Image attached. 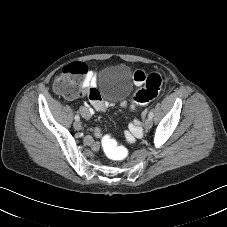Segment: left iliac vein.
<instances>
[{
    "instance_id": "obj_1",
    "label": "left iliac vein",
    "mask_w": 227,
    "mask_h": 227,
    "mask_svg": "<svg viewBox=\"0 0 227 227\" xmlns=\"http://www.w3.org/2000/svg\"><path fill=\"white\" fill-rule=\"evenodd\" d=\"M152 119L148 118L146 119V121L144 122V129L145 130H149L152 127Z\"/></svg>"
}]
</instances>
